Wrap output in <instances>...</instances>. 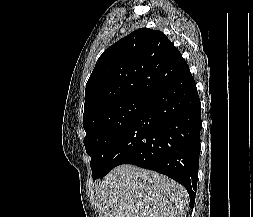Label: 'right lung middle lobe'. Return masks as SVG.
Segmentation results:
<instances>
[{"label":"right lung middle lobe","instance_id":"right-lung-middle-lobe-1","mask_svg":"<svg viewBox=\"0 0 253 217\" xmlns=\"http://www.w3.org/2000/svg\"><path fill=\"white\" fill-rule=\"evenodd\" d=\"M147 101L145 97L125 98L105 106L83 122L84 145L91 157L94 180L104 173L112 149Z\"/></svg>","mask_w":253,"mask_h":217}]
</instances>
